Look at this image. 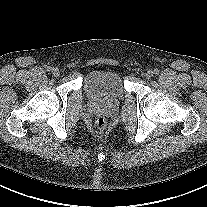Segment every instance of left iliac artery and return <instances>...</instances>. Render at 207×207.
Masks as SVG:
<instances>
[{"instance_id":"left-iliac-artery-1","label":"left iliac artery","mask_w":207,"mask_h":207,"mask_svg":"<svg viewBox=\"0 0 207 207\" xmlns=\"http://www.w3.org/2000/svg\"><path fill=\"white\" fill-rule=\"evenodd\" d=\"M153 73H154L155 75H158V74H159V70H158V69H154Z\"/></svg>"}]
</instances>
